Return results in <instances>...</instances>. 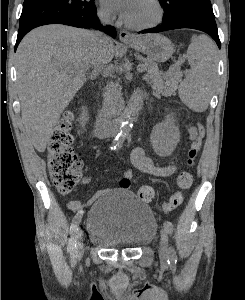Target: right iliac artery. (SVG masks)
Here are the masks:
<instances>
[{
    "label": "right iliac artery",
    "instance_id": "right-iliac-artery-1",
    "mask_svg": "<svg viewBox=\"0 0 245 300\" xmlns=\"http://www.w3.org/2000/svg\"><path fill=\"white\" fill-rule=\"evenodd\" d=\"M111 149H113V148H111ZM82 215H83L82 211L78 212L74 216V218L72 220V223H71V226H70V238L68 240V248L67 249L70 252L73 259H75L76 256H77V253H76V233L79 229V223L81 221Z\"/></svg>",
    "mask_w": 245,
    "mask_h": 300
}]
</instances>
